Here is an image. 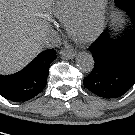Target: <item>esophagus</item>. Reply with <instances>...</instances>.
Returning a JSON list of instances; mask_svg holds the SVG:
<instances>
[{
	"mask_svg": "<svg viewBox=\"0 0 135 135\" xmlns=\"http://www.w3.org/2000/svg\"><path fill=\"white\" fill-rule=\"evenodd\" d=\"M59 54H60L62 57L67 58V59H73V58L75 57V55H76L75 52L69 51V50H61V51L59 52Z\"/></svg>",
	"mask_w": 135,
	"mask_h": 135,
	"instance_id": "34e87169",
	"label": "esophagus"
}]
</instances>
